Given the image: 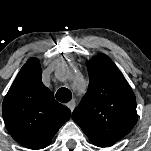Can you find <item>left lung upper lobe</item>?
<instances>
[{"mask_svg": "<svg viewBox=\"0 0 151 151\" xmlns=\"http://www.w3.org/2000/svg\"><path fill=\"white\" fill-rule=\"evenodd\" d=\"M89 87L72 113L92 143L116 142L137 121L136 98L124 76L105 54L86 62Z\"/></svg>", "mask_w": 151, "mask_h": 151, "instance_id": "left-lung-upper-lobe-1", "label": "left lung upper lobe"}]
</instances>
